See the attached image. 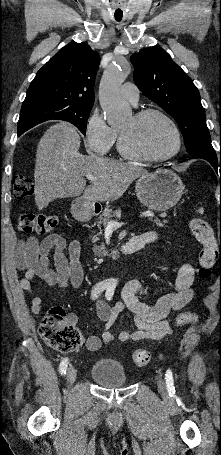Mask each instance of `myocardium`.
Segmentation results:
<instances>
[{
	"label": "myocardium",
	"instance_id": "1",
	"mask_svg": "<svg viewBox=\"0 0 221 455\" xmlns=\"http://www.w3.org/2000/svg\"><path fill=\"white\" fill-rule=\"evenodd\" d=\"M156 115L164 119L170 128L173 131L175 137V147L174 149L168 153L167 155L161 157H149L144 156L139 153L134 152L132 149L129 148L125 135L119 130L118 131V150L122 156L127 159L143 162V163H163L172 158H174L181 150L182 147V138L180 130L175 123V121L164 111L157 109V108H146L136 112L133 116L136 120L141 121L149 116Z\"/></svg>",
	"mask_w": 221,
	"mask_h": 455
}]
</instances>
